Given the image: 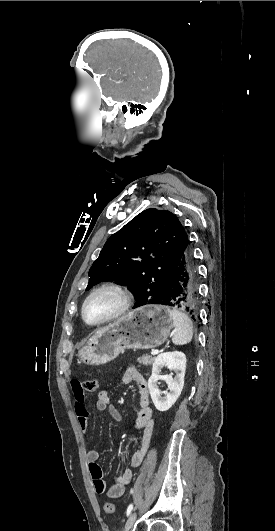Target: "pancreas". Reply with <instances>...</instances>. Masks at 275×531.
Segmentation results:
<instances>
[{
  "instance_id": "cf45deb5",
  "label": "pancreas",
  "mask_w": 275,
  "mask_h": 531,
  "mask_svg": "<svg viewBox=\"0 0 275 531\" xmlns=\"http://www.w3.org/2000/svg\"><path fill=\"white\" fill-rule=\"evenodd\" d=\"M137 361L138 363H141V365L148 367V365H152V363H154L155 357H150V355H142V357H138Z\"/></svg>"
}]
</instances>
